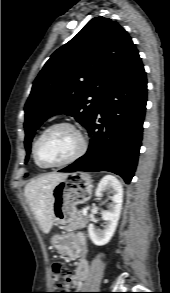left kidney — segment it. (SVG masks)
<instances>
[{
    "mask_svg": "<svg viewBox=\"0 0 170 293\" xmlns=\"http://www.w3.org/2000/svg\"><path fill=\"white\" fill-rule=\"evenodd\" d=\"M104 190H108L112 194V202L108 210L102 213V218L105 221L104 229H96L92 223L88 226L89 237L97 246L107 244L112 238L118 224L123 202L122 184L114 176L107 175L102 178L98 184L95 195L101 197Z\"/></svg>",
    "mask_w": 170,
    "mask_h": 293,
    "instance_id": "5707ae66",
    "label": "left kidney"
}]
</instances>
